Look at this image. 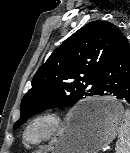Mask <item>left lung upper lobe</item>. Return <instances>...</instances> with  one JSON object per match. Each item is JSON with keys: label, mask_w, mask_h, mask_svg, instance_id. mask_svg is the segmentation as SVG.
<instances>
[{"label": "left lung upper lobe", "mask_w": 130, "mask_h": 153, "mask_svg": "<svg viewBox=\"0 0 130 153\" xmlns=\"http://www.w3.org/2000/svg\"><path fill=\"white\" fill-rule=\"evenodd\" d=\"M122 35L111 22L97 20L66 39L35 73L13 128L46 109L71 106L98 95L102 69Z\"/></svg>", "instance_id": "left-lung-upper-lobe-1"}]
</instances>
